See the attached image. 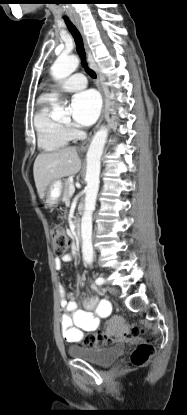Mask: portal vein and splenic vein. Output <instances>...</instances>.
Returning <instances> with one entry per match:
<instances>
[{
	"label": "portal vein and splenic vein",
	"instance_id": "portal-vein-and-splenic-vein-1",
	"mask_svg": "<svg viewBox=\"0 0 187 415\" xmlns=\"http://www.w3.org/2000/svg\"><path fill=\"white\" fill-rule=\"evenodd\" d=\"M74 192H75V187H74V185L72 184V185L70 186V196H72V195L74 194Z\"/></svg>",
	"mask_w": 187,
	"mask_h": 415
}]
</instances>
